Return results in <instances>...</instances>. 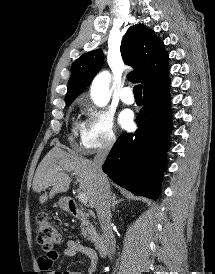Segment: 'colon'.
Instances as JSON below:
<instances>
[{
    "label": "colon",
    "mask_w": 215,
    "mask_h": 274,
    "mask_svg": "<svg viewBox=\"0 0 215 274\" xmlns=\"http://www.w3.org/2000/svg\"><path fill=\"white\" fill-rule=\"evenodd\" d=\"M36 236L39 244L45 251H54L60 242V234L44 212L38 214L36 219Z\"/></svg>",
    "instance_id": "1"
}]
</instances>
